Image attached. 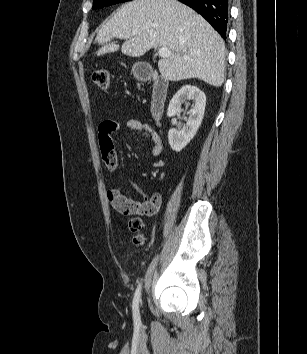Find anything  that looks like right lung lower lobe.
Instances as JSON below:
<instances>
[{"label": "right lung lower lobe", "mask_w": 307, "mask_h": 354, "mask_svg": "<svg viewBox=\"0 0 307 354\" xmlns=\"http://www.w3.org/2000/svg\"><path fill=\"white\" fill-rule=\"evenodd\" d=\"M201 14L226 39L229 0H178Z\"/></svg>", "instance_id": "obj_1"}]
</instances>
